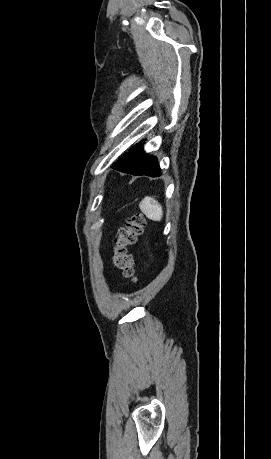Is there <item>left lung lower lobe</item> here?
Listing matches in <instances>:
<instances>
[{"label": "left lung lower lobe", "instance_id": "obj_1", "mask_svg": "<svg viewBox=\"0 0 271 459\" xmlns=\"http://www.w3.org/2000/svg\"><path fill=\"white\" fill-rule=\"evenodd\" d=\"M112 168L133 175L160 176V167L157 158L147 156L143 151L142 143L133 147L130 153L116 162Z\"/></svg>", "mask_w": 271, "mask_h": 459}]
</instances>
